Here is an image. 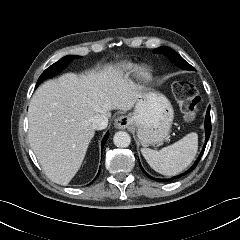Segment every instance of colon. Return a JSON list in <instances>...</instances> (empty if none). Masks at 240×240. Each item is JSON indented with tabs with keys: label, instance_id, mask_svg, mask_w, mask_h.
<instances>
[{
	"label": "colon",
	"instance_id": "colon-1",
	"mask_svg": "<svg viewBox=\"0 0 240 240\" xmlns=\"http://www.w3.org/2000/svg\"><path fill=\"white\" fill-rule=\"evenodd\" d=\"M175 97L180 102L186 121H192L199 111V96L195 84L191 81H176L172 85Z\"/></svg>",
	"mask_w": 240,
	"mask_h": 240
}]
</instances>
